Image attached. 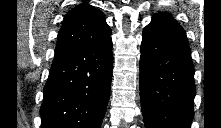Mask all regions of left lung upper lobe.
<instances>
[{"label":"left lung upper lobe","instance_id":"5c2ea615","mask_svg":"<svg viewBox=\"0 0 221 128\" xmlns=\"http://www.w3.org/2000/svg\"><path fill=\"white\" fill-rule=\"evenodd\" d=\"M158 14H163V15H167V16L171 17V15L168 13H158Z\"/></svg>","mask_w":221,"mask_h":128}]
</instances>
